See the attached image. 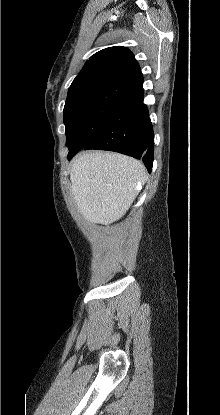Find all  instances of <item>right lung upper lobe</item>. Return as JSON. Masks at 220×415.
<instances>
[{
	"label": "right lung upper lobe",
	"mask_w": 220,
	"mask_h": 415,
	"mask_svg": "<svg viewBox=\"0 0 220 415\" xmlns=\"http://www.w3.org/2000/svg\"><path fill=\"white\" fill-rule=\"evenodd\" d=\"M100 78H115L142 88L143 75L133 53L114 46L95 53L84 65L71 86Z\"/></svg>",
	"instance_id": "right-lung-upper-lobe-1"
}]
</instances>
